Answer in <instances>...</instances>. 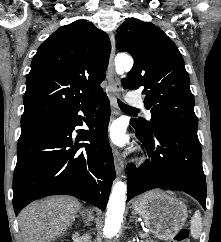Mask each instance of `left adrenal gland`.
<instances>
[{"mask_svg": "<svg viewBox=\"0 0 221 242\" xmlns=\"http://www.w3.org/2000/svg\"><path fill=\"white\" fill-rule=\"evenodd\" d=\"M136 218L135 213L132 212V216L130 217V222H132Z\"/></svg>", "mask_w": 221, "mask_h": 242, "instance_id": "1", "label": "left adrenal gland"}]
</instances>
